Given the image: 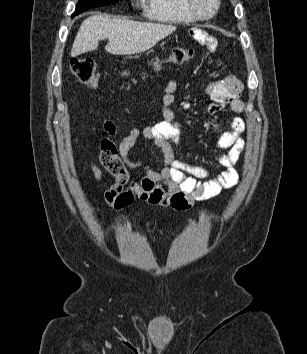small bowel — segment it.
I'll use <instances>...</instances> for the list:
<instances>
[{"mask_svg": "<svg viewBox=\"0 0 307 354\" xmlns=\"http://www.w3.org/2000/svg\"><path fill=\"white\" fill-rule=\"evenodd\" d=\"M190 35L210 51L217 47L216 39L202 29L194 28ZM176 88V80H169L162 98V122L142 129L133 126L117 144L111 139L117 133L116 124L111 120L103 121L101 128L105 136L101 141L98 161L115 178V182L105 192L107 203L115 208L127 207L135 200H142L154 206L171 207L178 211L187 210L196 201L215 197L223 189L233 187L237 183V165L245 146L241 137L245 125L239 117L244 111V104L239 99L242 84L230 77L211 91L213 103L208 107L209 113L214 116L219 114L228 101L233 113V116L226 120L228 130L222 133L216 142V148L225 150V153L215 159L223 171L214 179H208L210 171L204 164L187 162L176 155V146L183 130L171 109ZM140 137L162 152L164 166L160 172L129 157L130 150ZM98 161L92 158L90 169L95 179L100 181L102 170ZM137 168L142 170L143 177L138 182H130L129 170Z\"/></svg>", "mask_w": 307, "mask_h": 354, "instance_id": "1", "label": "small bowel"}]
</instances>
